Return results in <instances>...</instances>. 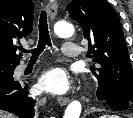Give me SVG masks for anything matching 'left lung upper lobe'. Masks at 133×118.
I'll return each mask as SVG.
<instances>
[{
	"instance_id": "1",
	"label": "left lung upper lobe",
	"mask_w": 133,
	"mask_h": 118,
	"mask_svg": "<svg viewBox=\"0 0 133 118\" xmlns=\"http://www.w3.org/2000/svg\"><path fill=\"white\" fill-rule=\"evenodd\" d=\"M67 10L77 21L89 43L98 79L97 98L117 93L133 104V73L128 60L121 23L115 10L105 0H72ZM96 71V72H95Z\"/></svg>"
}]
</instances>
